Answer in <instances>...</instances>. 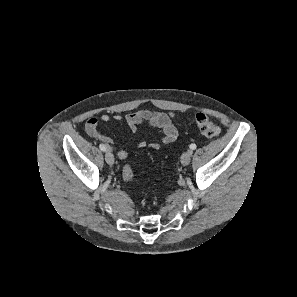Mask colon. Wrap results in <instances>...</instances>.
I'll return each instance as SVG.
<instances>
[{
    "label": "colon",
    "instance_id": "1",
    "mask_svg": "<svg viewBox=\"0 0 297 297\" xmlns=\"http://www.w3.org/2000/svg\"><path fill=\"white\" fill-rule=\"evenodd\" d=\"M195 124H196L198 130L201 132V134L208 138H215V137L219 136V134L221 132V129L216 122L212 121L206 115L201 114V113H199L195 116ZM117 157L121 161L128 160V155L125 150H119L117 152ZM123 179L127 183H131L134 181L133 170L128 165H126L123 169Z\"/></svg>",
    "mask_w": 297,
    "mask_h": 297
}]
</instances>
